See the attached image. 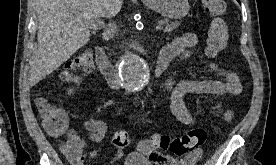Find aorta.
<instances>
[{
  "mask_svg": "<svg viewBox=\"0 0 276 165\" xmlns=\"http://www.w3.org/2000/svg\"><path fill=\"white\" fill-rule=\"evenodd\" d=\"M119 74L124 86L131 89H140L147 78L148 67L142 58L130 52L122 58Z\"/></svg>",
  "mask_w": 276,
  "mask_h": 165,
  "instance_id": "1",
  "label": "aorta"
}]
</instances>
